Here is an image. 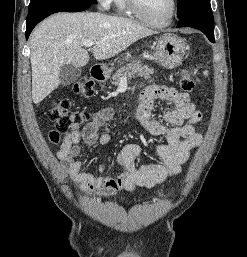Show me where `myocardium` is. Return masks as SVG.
Instances as JSON below:
<instances>
[{
	"label": "myocardium",
	"mask_w": 247,
	"mask_h": 257,
	"mask_svg": "<svg viewBox=\"0 0 247 257\" xmlns=\"http://www.w3.org/2000/svg\"><path fill=\"white\" fill-rule=\"evenodd\" d=\"M126 6L129 9V11L136 16L138 19H140L142 22L145 24L156 27V28H163L168 26L174 19L177 10H178V1L177 0H172V10L170 15L167 17L166 20L163 22H155L149 19L147 16L144 15L142 12L138 0H125Z\"/></svg>",
	"instance_id": "1"
}]
</instances>
